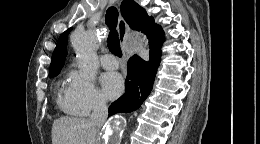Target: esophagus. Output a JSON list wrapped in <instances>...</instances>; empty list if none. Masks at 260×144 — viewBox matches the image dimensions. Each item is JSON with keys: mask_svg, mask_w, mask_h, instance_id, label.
I'll return each mask as SVG.
<instances>
[{"mask_svg": "<svg viewBox=\"0 0 260 144\" xmlns=\"http://www.w3.org/2000/svg\"><path fill=\"white\" fill-rule=\"evenodd\" d=\"M128 25L125 22V20L120 16L119 20H118V34H119V38L120 40H122V43L124 41L125 36L128 33Z\"/></svg>", "mask_w": 260, "mask_h": 144, "instance_id": "obj_1", "label": "esophagus"}]
</instances>
